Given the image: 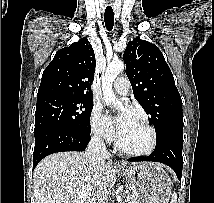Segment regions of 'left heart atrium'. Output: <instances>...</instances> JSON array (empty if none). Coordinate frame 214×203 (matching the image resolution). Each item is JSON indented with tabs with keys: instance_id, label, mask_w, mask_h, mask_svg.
<instances>
[{
	"instance_id": "1",
	"label": "left heart atrium",
	"mask_w": 214,
	"mask_h": 203,
	"mask_svg": "<svg viewBox=\"0 0 214 203\" xmlns=\"http://www.w3.org/2000/svg\"><path fill=\"white\" fill-rule=\"evenodd\" d=\"M136 120L135 112L131 108H126L116 119L115 123L119 131L123 130L128 124Z\"/></svg>"
}]
</instances>
